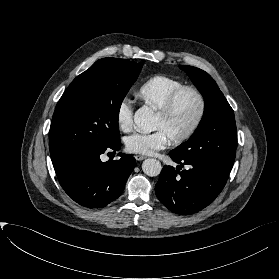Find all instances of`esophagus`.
I'll use <instances>...</instances> for the list:
<instances>
[{"mask_svg":"<svg viewBox=\"0 0 279 279\" xmlns=\"http://www.w3.org/2000/svg\"><path fill=\"white\" fill-rule=\"evenodd\" d=\"M135 159L137 161H142V160L146 159V156H144V155H135Z\"/></svg>","mask_w":279,"mask_h":279,"instance_id":"esophagus-1","label":"esophagus"}]
</instances>
